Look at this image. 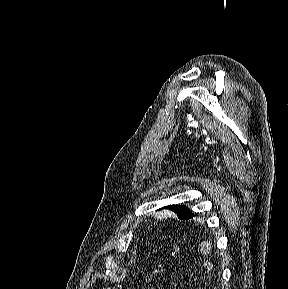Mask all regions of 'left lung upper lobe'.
Masks as SVG:
<instances>
[{"label":"left lung upper lobe","instance_id":"obj_1","mask_svg":"<svg viewBox=\"0 0 288 289\" xmlns=\"http://www.w3.org/2000/svg\"><path fill=\"white\" fill-rule=\"evenodd\" d=\"M164 209H170L173 212L177 213L179 219L186 220L192 214V212L183 205H170L163 207Z\"/></svg>","mask_w":288,"mask_h":289}]
</instances>
